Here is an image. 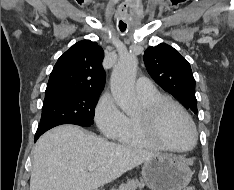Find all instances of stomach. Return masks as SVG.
<instances>
[{
  "label": "stomach",
  "instance_id": "0dacf381",
  "mask_svg": "<svg viewBox=\"0 0 234 190\" xmlns=\"http://www.w3.org/2000/svg\"><path fill=\"white\" fill-rule=\"evenodd\" d=\"M142 177L152 190H183L191 181L192 171L182 159L159 154L145 161Z\"/></svg>",
  "mask_w": 234,
  "mask_h": 190
}]
</instances>
